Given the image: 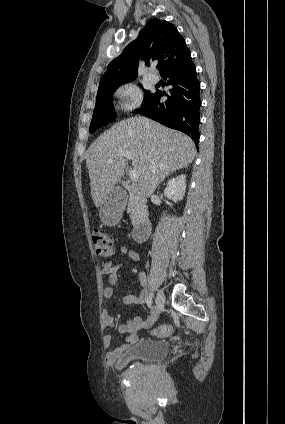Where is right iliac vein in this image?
I'll use <instances>...</instances> for the list:
<instances>
[{
	"mask_svg": "<svg viewBox=\"0 0 285 424\" xmlns=\"http://www.w3.org/2000/svg\"><path fill=\"white\" fill-rule=\"evenodd\" d=\"M165 303V296L161 291H158L156 296L157 309L152 312L153 320L156 321L159 315V311L163 308Z\"/></svg>",
	"mask_w": 285,
	"mask_h": 424,
	"instance_id": "1",
	"label": "right iliac vein"
}]
</instances>
